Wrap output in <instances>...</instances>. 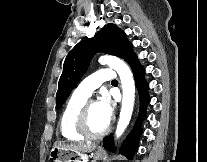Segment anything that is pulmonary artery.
I'll return each mask as SVG.
<instances>
[{
	"instance_id": "e3ab8cb5",
	"label": "pulmonary artery",
	"mask_w": 207,
	"mask_h": 162,
	"mask_svg": "<svg viewBox=\"0 0 207 162\" xmlns=\"http://www.w3.org/2000/svg\"><path fill=\"white\" fill-rule=\"evenodd\" d=\"M115 79L113 71L102 69L84 79L76 88L78 94L90 97L103 82H112Z\"/></svg>"
}]
</instances>
